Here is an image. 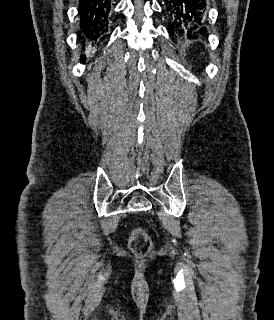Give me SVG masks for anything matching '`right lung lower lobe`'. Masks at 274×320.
<instances>
[{"mask_svg":"<svg viewBox=\"0 0 274 320\" xmlns=\"http://www.w3.org/2000/svg\"><path fill=\"white\" fill-rule=\"evenodd\" d=\"M111 1L80 0L78 16L84 41H91L92 44L98 42V45L107 36L105 32L107 31L108 22L111 17ZM85 59V55H82L81 60L85 61Z\"/></svg>","mask_w":274,"mask_h":320,"instance_id":"1","label":"right lung lower lobe"}]
</instances>
